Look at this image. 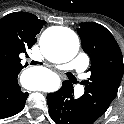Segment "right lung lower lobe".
<instances>
[{
    "instance_id": "obj_1",
    "label": "right lung lower lobe",
    "mask_w": 124,
    "mask_h": 124,
    "mask_svg": "<svg viewBox=\"0 0 124 124\" xmlns=\"http://www.w3.org/2000/svg\"><path fill=\"white\" fill-rule=\"evenodd\" d=\"M18 75L0 78V119L18 114L25 106L28 93L21 91Z\"/></svg>"
}]
</instances>
